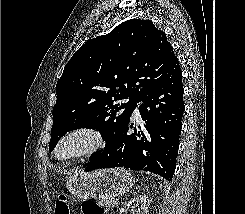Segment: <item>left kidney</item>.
I'll list each match as a JSON object with an SVG mask.
<instances>
[{
	"label": "left kidney",
	"instance_id": "5707ae66",
	"mask_svg": "<svg viewBox=\"0 0 245 214\" xmlns=\"http://www.w3.org/2000/svg\"><path fill=\"white\" fill-rule=\"evenodd\" d=\"M126 207L132 214H148V203L145 195L134 197L126 204ZM136 207L137 209H135Z\"/></svg>",
	"mask_w": 245,
	"mask_h": 214
}]
</instances>
